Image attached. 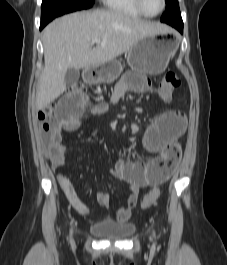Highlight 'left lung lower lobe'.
<instances>
[{"mask_svg": "<svg viewBox=\"0 0 227 265\" xmlns=\"http://www.w3.org/2000/svg\"><path fill=\"white\" fill-rule=\"evenodd\" d=\"M170 25L173 26V27H175L181 33H183V23H172Z\"/></svg>", "mask_w": 227, "mask_h": 265, "instance_id": "0a47b994", "label": "left lung lower lobe"}]
</instances>
